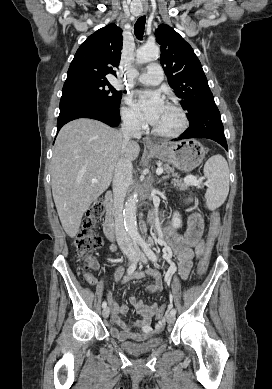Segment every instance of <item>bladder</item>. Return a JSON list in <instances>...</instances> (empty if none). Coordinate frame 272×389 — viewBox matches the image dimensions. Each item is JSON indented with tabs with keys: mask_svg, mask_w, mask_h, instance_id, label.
<instances>
[{
	"mask_svg": "<svg viewBox=\"0 0 272 389\" xmlns=\"http://www.w3.org/2000/svg\"><path fill=\"white\" fill-rule=\"evenodd\" d=\"M118 344L129 354L141 355L155 351L162 344V340L160 338H149L140 343L120 340Z\"/></svg>",
	"mask_w": 272,
	"mask_h": 389,
	"instance_id": "bladder-1",
	"label": "bladder"
}]
</instances>
